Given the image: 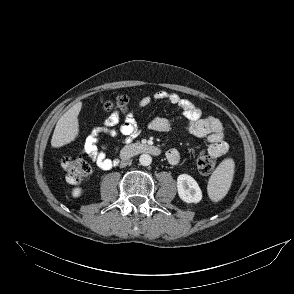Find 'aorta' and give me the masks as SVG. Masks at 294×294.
<instances>
[{
	"instance_id": "762f6f07",
	"label": "aorta",
	"mask_w": 294,
	"mask_h": 294,
	"mask_svg": "<svg viewBox=\"0 0 294 294\" xmlns=\"http://www.w3.org/2000/svg\"><path fill=\"white\" fill-rule=\"evenodd\" d=\"M139 162L142 166H149L152 163V157L149 154H142L139 157Z\"/></svg>"
}]
</instances>
